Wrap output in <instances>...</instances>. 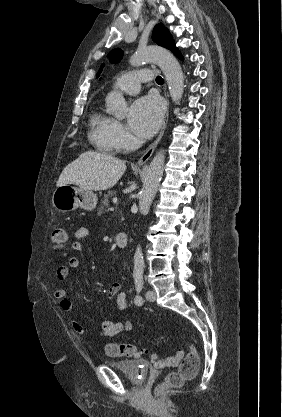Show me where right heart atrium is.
I'll list each match as a JSON object with an SVG mask.
<instances>
[{
	"instance_id": "1",
	"label": "right heart atrium",
	"mask_w": 282,
	"mask_h": 417,
	"mask_svg": "<svg viewBox=\"0 0 282 417\" xmlns=\"http://www.w3.org/2000/svg\"><path fill=\"white\" fill-rule=\"evenodd\" d=\"M116 141L120 148H128L131 143V136L120 123L116 125Z\"/></svg>"
}]
</instances>
